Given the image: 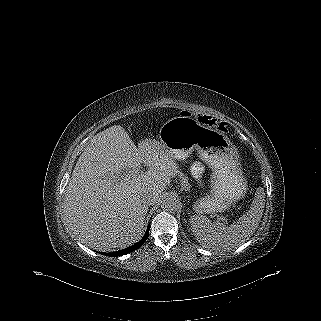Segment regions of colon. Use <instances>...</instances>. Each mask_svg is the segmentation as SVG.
I'll return each mask as SVG.
<instances>
[{
  "label": "colon",
  "instance_id": "colon-1",
  "mask_svg": "<svg viewBox=\"0 0 321 321\" xmlns=\"http://www.w3.org/2000/svg\"><path fill=\"white\" fill-rule=\"evenodd\" d=\"M196 118L200 123H202L206 126L215 128L221 132H226L228 129L226 122L219 121L212 116L199 114L196 116Z\"/></svg>",
  "mask_w": 321,
  "mask_h": 321
}]
</instances>
